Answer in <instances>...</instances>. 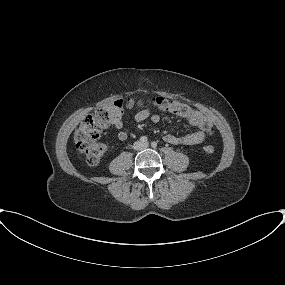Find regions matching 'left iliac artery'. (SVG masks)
Returning <instances> with one entry per match:
<instances>
[{
    "label": "left iliac artery",
    "instance_id": "obj_1",
    "mask_svg": "<svg viewBox=\"0 0 285 285\" xmlns=\"http://www.w3.org/2000/svg\"><path fill=\"white\" fill-rule=\"evenodd\" d=\"M151 146H152L153 148H155V147L157 146V143H156V142H152V143H151Z\"/></svg>",
    "mask_w": 285,
    "mask_h": 285
}]
</instances>
